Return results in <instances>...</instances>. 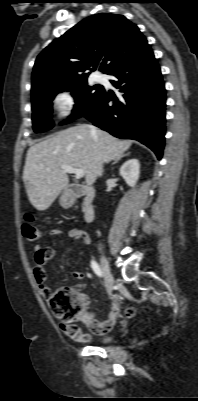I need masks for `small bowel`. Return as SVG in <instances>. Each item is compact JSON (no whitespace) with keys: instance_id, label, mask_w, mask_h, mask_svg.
<instances>
[{"instance_id":"c3829d8e","label":"small bowel","mask_w":198,"mask_h":401,"mask_svg":"<svg viewBox=\"0 0 198 401\" xmlns=\"http://www.w3.org/2000/svg\"><path fill=\"white\" fill-rule=\"evenodd\" d=\"M61 234V230L58 228H53L49 231V235L52 237L58 236ZM68 236L71 239L79 240L86 246L90 245L91 239L87 231L80 228H71L68 231ZM54 252L52 249L48 247H44L41 245H37L34 248V264H33V275L34 279L42 293L43 296H48L50 293V287L47 284V278L45 273V268L48 262L52 259ZM77 277H83V273H76ZM83 304L86 308L90 307V298L86 294L80 295ZM120 312V304L116 298L112 299V306L109 312L108 318L106 320H98L95 317V321L91 326H89V330L94 335H103L106 334L113 324L115 323ZM65 332L68 334V329L63 325ZM90 334L82 333L80 331L77 332V335L73 337L79 341H87L90 338Z\"/></svg>"}]
</instances>
